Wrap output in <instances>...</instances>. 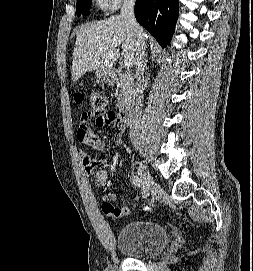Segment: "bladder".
Segmentation results:
<instances>
[{
    "label": "bladder",
    "instance_id": "obj_1",
    "mask_svg": "<svg viewBox=\"0 0 253 271\" xmlns=\"http://www.w3.org/2000/svg\"><path fill=\"white\" fill-rule=\"evenodd\" d=\"M169 243L166 228L157 222L135 221L117 234L118 250L130 258H149L162 252Z\"/></svg>",
    "mask_w": 253,
    "mask_h": 271
}]
</instances>
